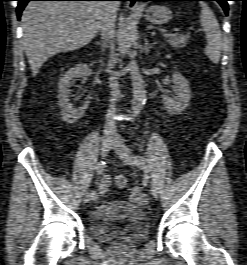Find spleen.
Segmentation results:
<instances>
[{
    "instance_id": "3e777b00",
    "label": "spleen",
    "mask_w": 247,
    "mask_h": 265,
    "mask_svg": "<svg viewBox=\"0 0 247 265\" xmlns=\"http://www.w3.org/2000/svg\"><path fill=\"white\" fill-rule=\"evenodd\" d=\"M200 6V22L207 39L204 52L213 63H218L223 47L220 26L208 5L205 2H200Z\"/></svg>"
}]
</instances>
